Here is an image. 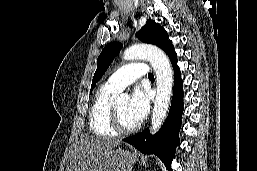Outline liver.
Segmentation results:
<instances>
[{"mask_svg":"<svg viewBox=\"0 0 257 171\" xmlns=\"http://www.w3.org/2000/svg\"><path fill=\"white\" fill-rule=\"evenodd\" d=\"M122 143L119 139L85 137L74 146L66 171H90L103 153L112 150Z\"/></svg>","mask_w":257,"mask_h":171,"instance_id":"6515ba94","label":"liver"}]
</instances>
